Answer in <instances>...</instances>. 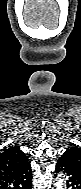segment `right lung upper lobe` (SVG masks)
I'll list each match as a JSON object with an SVG mask.
<instances>
[{
	"mask_svg": "<svg viewBox=\"0 0 81 189\" xmlns=\"http://www.w3.org/2000/svg\"><path fill=\"white\" fill-rule=\"evenodd\" d=\"M28 157L18 146L5 149L0 154V175H4L28 161Z\"/></svg>",
	"mask_w": 81,
	"mask_h": 189,
	"instance_id": "cb5924a9",
	"label": "right lung upper lobe"
}]
</instances>
